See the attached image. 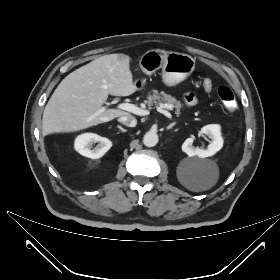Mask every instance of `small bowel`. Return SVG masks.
Wrapping results in <instances>:
<instances>
[{
  "label": "small bowel",
  "instance_id": "c3829d8e",
  "mask_svg": "<svg viewBox=\"0 0 280 280\" xmlns=\"http://www.w3.org/2000/svg\"><path fill=\"white\" fill-rule=\"evenodd\" d=\"M195 102H196V99H195L193 96H189V97L187 98V105H188V106L193 105Z\"/></svg>",
  "mask_w": 280,
  "mask_h": 280
}]
</instances>
